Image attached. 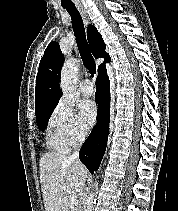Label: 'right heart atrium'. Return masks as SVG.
Here are the masks:
<instances>
[{
    "label": "right heart atrium",
    "instance_id": "obj_1",
    "mask_svg": "<svg viewBox=\"0 0 178 211\" xmlns=\"http://www.w3.org/2000/svg\"><path fill=\"white\" fill-rule=\"evenodd\" d=\"M52 124L66 148L80 145L87 136V130L76 114L63 103H59L53 114Z\"/></svg>",
    "mask_w": 178,
    "mask_h": 211
}]
</instances>
